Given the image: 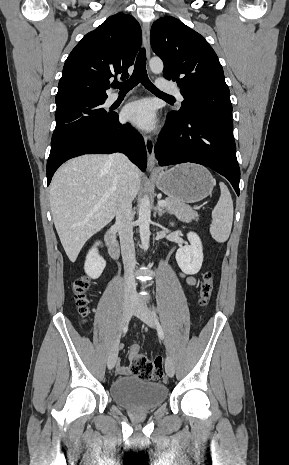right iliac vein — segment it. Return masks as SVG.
I'll use <instances>...</instances> for the list:
<instances>
[{
    "label": "right iliac vein",
    "mask_w": 289,
    "mask_h": 465,
    "mask_svg": "<svg viewBox=\"0 0 289 465\" xmlns=\"http://www.w3.org/2000/svg\"><path fill=\"white\" fill-rule=\"evenodd\" d=\"M134 311V301L131 299L125 300L123 304V310H122V323L121 326L123 327L127 322L130 320L132 314ZM118 345L119 342L118 340L113 344L109 355H108V360H107V366L109 369H113L117 360L118 356Z\"/></svg>",
    "instance_id": "1"
}]
</instances>
